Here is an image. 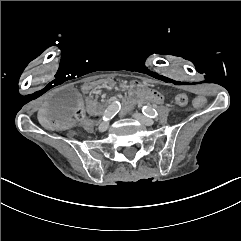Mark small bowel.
<instances>
[{"label":"small bowel","mask_w":241,"mask_h":241,"mask_svg":"<svg viewBox=\"0 0 241 241\" xmlns=\"http://www.w3.org/2000/svg\"><path fill=\"white\" fill-rule=\"evenodd\" d=\"M102 86L104 87H108V86H112L113 83L112 82H104L101 83ZM95 89V84H86L83 86V92L86 93L87 95L91 94L94 92ZM128 91L130 93H136V92H141L145 97H147L149 100H153V101H158L161 102L164 99L163 94L158 93V91L156 89H151L149 88V86L147 84L141 83L139 81L133 80L131 81L130 85L128 86ZM87 105L88 108L90 110L91 113H95L97 110V103L96 101L92 98V97H88L87 98ZM40 117L41 120L43 122V124L47 127H52V128H56L58 130H65L68 128V123L67 122H63V121H55V120H51L49 118L48 115V104L46 102H43L40 104Z\"/></svg>","instance_id":"small-bowel-1"}]
</instances>
